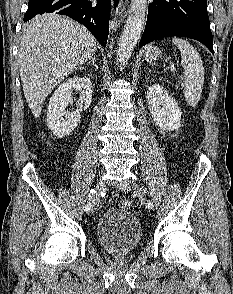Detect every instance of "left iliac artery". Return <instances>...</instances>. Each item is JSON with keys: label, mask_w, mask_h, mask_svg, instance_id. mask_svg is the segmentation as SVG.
Listing matches in <instances>:
<instances>
[{"label": "left iliac artery", "mask_w": 233, "mask_h": 294, "mask_svg": "<svg viewBox=\"0 0 233 294\" xmlns=\"http://www.w3.org/2000/svg\"><path fill=\"white\" fill-rule=\"evenodd\" d=\"M140 190L143 192V193H147V189L145 187H141ZM147 206L148 208L152 209L154 204L151 200H148L147 202Z\"/></svg>", "instance_id": "left-iliac-artery-1"}]
</instances>
